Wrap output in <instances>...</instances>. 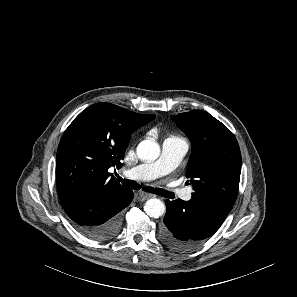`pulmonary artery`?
<instances>
[{"label":"pulmonary artery","instance_id":"pulmonary-artery-1","mask_svg":"<svg viewBox=\"0 0 297 297\" xmlns=\"http://www.w3.org/2000/svg\"><path fill=\"white\" fill-rule=\"evenodd\" d=\"M188 148V142L183 138H167L162 144L161 155L156 161L135 166L124 174L134 180H152L166 175L180 164ZM170 190L184 200L191 198V189L171 187Z\"/></svg>","mask_w":297,"mask_h":297}]
</instances>
